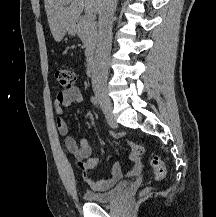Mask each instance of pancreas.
Here are the masks:
<instances>
[{"instance_id": "obj_1", "label": "pancreas", "mask_w": 216, "mask_h": 217, "mask_svg": "<svg viewBox=\"0 0 216 217\" xmlns=\"http://www.w3.org/2000/svg\"><path fill=\"white\" fill-rule=\"evenodd\" d=\"M77 35L82 40L85 55L90 57L93 54L97 41V24L94 20L88 21L86 18H80L77 25Z\"/></svg>"}]
</instances>
